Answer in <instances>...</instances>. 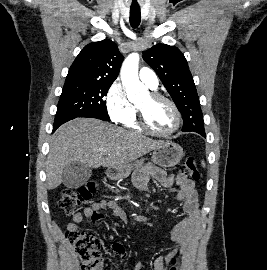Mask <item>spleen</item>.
Returning <instances> with one entry per match:
<instances>
[{
	"instance_id": "spleen-1",
	"label": "spleen",
	"mask_w": 267,
	"mask_h": 270,
	"mask_svg": "<svg viewBox=\"0 0 267 270\" xmlns=\"http://www.w3.org/2000/svg\"><path fill=\"white\" fill-rule=\"evenodd\" d=\"M202 166L205 167V163L202 161Z\"/></svg>"
}]
</instances>
